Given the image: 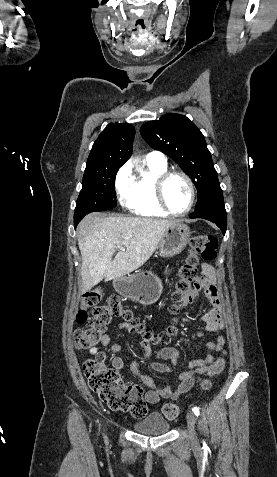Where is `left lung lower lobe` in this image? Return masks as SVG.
<instances>
[{
	"label": "left lung lower lobe",
	"mask_w": 277,
	"mask_h": 477,
	"mask_svg": "<svg viewBox=\"0 0 277 477\" xmlns=\"http://www.w3.org/2000/svg\"><path fill=\"white\" fill-rule=\"evenodd\" d=\"M190 218H203L218 225L223 234L227 228V213L224 206L223 193H216L202 208L189 215Z\"/></svg>",
	"instance_id": "obj_1"
}]
</instances>
